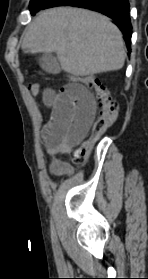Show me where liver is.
Wrapping results in <instances>:
<instances>
[{
	"instance_id": "obj_1",
	"label": "liver",
	"mask_w": 148,
	"mask_h": 279,
	"mask_svg": "<svg viewBox=\"0 0 148 279\" xmlns=\"http://www.w3.org/2000/svg\"><path fill=\"white\" fill-rule=\"evenodd\" d=\"M22 49L55 52L62 69L75 76L119 70L126 56L122 34L109 18L72 7L43 11L25 33Z\"/></svg>"
}]
</instances>
